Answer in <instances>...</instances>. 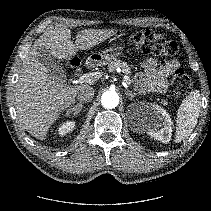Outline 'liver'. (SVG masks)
Returning <instances> with one entry per match:
<instances>
[{
    "instance_id": "1",
    "label": "liver",
    "mask_w": 211,
    "mask_h": 211,
    "mask_svg": "<svg viewBox=\"0 0 211 211\" xmlns=\"http://www.w3.org/2000/svg\"><path fill=\"white\" fill-rule=\"evenodd\" d=\"M116 33L115 30L85 29L78 32L75 44L71 30L63 27L42 34L23 61L12 99L22 127L37 139H44L61 110L70 106L79 91L91 82L66 86L52 81L48 69L38 60V49L45 47L60 60H70L77 51L89 49Z\"/></svg>"
}]
</instances>
